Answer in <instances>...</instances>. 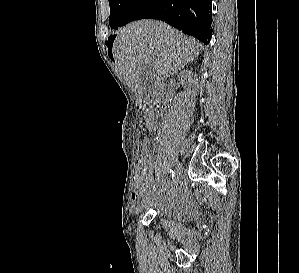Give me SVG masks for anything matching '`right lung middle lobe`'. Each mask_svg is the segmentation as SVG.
I'll return each mask as SVG.
<instances>
[{
	"instance_id": "dd1d6c3e",
	"label": "right lung middle lobe",
	"mask_w": 299,
	"mask_h": 273,
	"mask_svg": "<svg viewBox=\"0 0 299 273\" xmlns=\"http://www.w3.org/2000/svg\"><path fill=\"white\" fill-rule=\"evenodd\" d=\"M135 0H109V23L112 29H117L127 10Z\"/></svg>"
}]
</instances>
